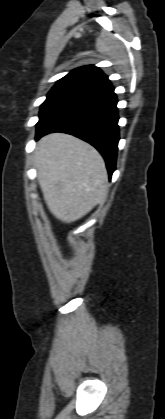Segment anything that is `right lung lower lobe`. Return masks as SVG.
<instances>
[{"label":"right lung lower lobe","mask_w":165,"mask_h":419,"mask_svg":"<svg viewBox=\"0 0 165 419\" xmlns=\"http://www.w3.org/2000/svg\"><path fill=\"white\" fill-rule=\"evenodd\" d=\"M116 105L112 86L82 96L49 115L37 127L36 139L51 132L69 133L83 139L102 154L111 177L115 170L119 141Z\"/></svg>","instance_id":"right-lung-lower-lobe-1"}]
</instances>
